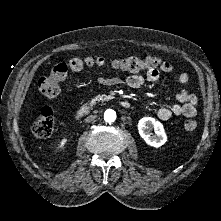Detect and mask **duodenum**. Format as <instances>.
<instances>
[{
	"instance_id": "410a0bca",
	"label": "duodenum",
	"mask_w": 221,
	"mask_h": 221,
	"mask_svg": "<svg viewBox=\"0 0 221 221\" xmlns=\"http://www.w3.org/2000/svg\"><path fill=\"white\" fill-rule=\"evenodd\" d=\"M120 105L124 109L130 108L131 104L128 100H121ZM92 111V107L89 104H83L79 109L76 111L75 116L76 118H81L90 114Z\"/></svg>"
}]
</instances>
